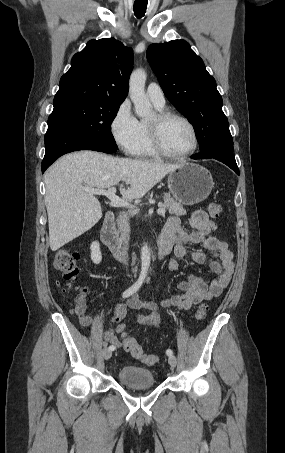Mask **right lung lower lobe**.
Returning a JSON list of instances; mask_svg holds the SVG:
<instances>
[{
	"label": "right lung lower lobe",
	"instance_id": "98d812e1",
	"mask_svg": "<svg viewBox=\"0 0 285 453\" xmlns=\"http://www.w3.org/2000/svg\"><path fill=\"white\" fill-rule=\"evenodd\" d=\"M45 156L42 162V173L60 156L78 150H94L114 153L117 150L102 145L83 133L78 127L60 116L48 119V130L45 135Z\"/></svg>",
	"mask_w": 285,
	"mask_h": 453
}]
</instances>
